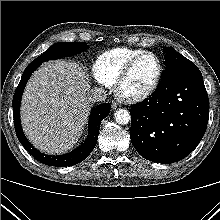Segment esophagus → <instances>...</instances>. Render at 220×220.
<instances>
[{"label": "esophagus", "instance_id": "obj_1", "mask_svg": "<svg viewBox=\"0 0 220 220\" xmlns=\"http://www.w3.org/2000/svg\"><path fill=\"white\" fill-rule=\"evenodd\" d=\"M111 107H112L113 110H115V109L119 108L120 105H119L118 103H116V102L113 101V102L111 103Z\"/></svg>", "mask_w": 220, "mask_h": 220}]
</instances>
